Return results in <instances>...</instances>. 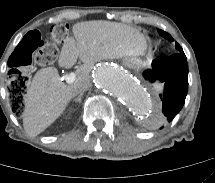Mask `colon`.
I'll use <instances>...</instances> for the list:
<instances>
[{"instance_id": "obj_1", "label": "colon", "mask_w": 215, "mask_h": 183, "mask_svg": "<svg viewBox=\"0 0 215 183\" xmlns=\"http://www.w3.org/2000/svg\"><path fill=\"white\" fill-rule=\"evenodd\" d=\"M68 35V27L57 23L50 27H35L19 40L9 58L8 90L11 109L16 114L24 111V96L29 79L25 74L27 65L48 66L56 58L57 48L51 44L54 39L63 41Z\"/></svg>"}]
</instances>
